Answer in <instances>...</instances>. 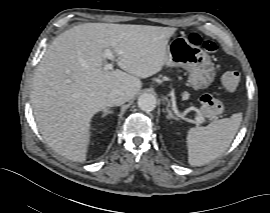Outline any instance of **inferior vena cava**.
<instances>
[{
    "instance_id": "inferior-vena-cava-1",
    "label": "inferior vena cava",
    "mask_w": 270,
    "mask_h": 213,
    "mask_svg": "<svg viewBox=\"0 0 270 213\" xmlns=\"http://www.w3.org/2000/svg\"><path fill=\"white\" fill-rule=\"evenodd\" d=\"M127 101V97L121 90H113L108 96L110 106H118Z\"/></svg>"
}]
</instances>
